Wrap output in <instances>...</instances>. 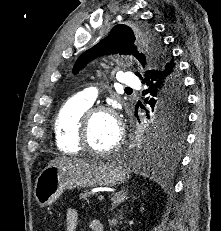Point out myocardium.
Returning <instances> with one entry per match:
<instances>
[{
	"instance_id": "f54148a6",
	"label": "myocardium",
	"mask_w": 221,
	"mask_h": 231,
	"mask_svg": "<svg viewBox=\"0 0 221 231\" xmlns=\"http://www.w3.org/2000/svg\"><path fill=\"white\" fill-rule=\"evenodd\" d=\"M100 113H106L111 115L116 121V124L118 126V132H119L116 142L111 147L104 150H96L92 148L89 143V128L91 122L93 118ZM78 127H79L78 142L80 146L82 147V149L93 155L105 156L111 154L117 151L124 142V138H125L124 124L122 123L116 110L107 105H96L90 107L81 117Z\"/></svg>"
}]
</instances>
